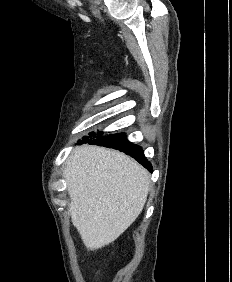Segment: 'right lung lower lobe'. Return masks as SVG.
Returning a JSON list of instances; mask_svg holds the SVG:
<instances>
[{"instance_id": "obj_1", "label": "right lung lower lobe", "mask_w": 232, "mask_h": 282, "mask_svg": "<svg viewBox=\"0 0 232 282\" xmlns=\"http://www.w3.org/2000/svg\"><path fill=\"white\" fill-rule=\"evenodd\" d=\"M84 142L89 141L88 139L83 140ZM89 144H97L99 146H105L107 148L117 149L121 152L130 155L135 158L140 164L152 172V166L150 162L144 156L142 148L126 140L124 133H116L110 135H98L95 140H90Z\"/></svg>"}]
</instances>
